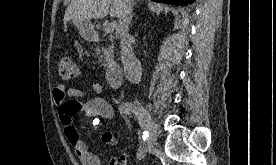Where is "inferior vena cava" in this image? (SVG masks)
<instances>
[{"label": "inferior vena cava", "mask_w": 276, "mask_h": 165, "mask_svg": "<svg viewBox=\"0 0 276 165\" xmlns=\"http://www.w3.org/2000/svg\"><path fill=\"white\" fill-rule=\"evenodd\" d=\"M132 5L133 0H124L119 16L118 33L120 35L121 59L124 69L133 83H139L141 81L142 68L140 63L137 62L133 56L128 33L129 24L132 18Z\"/></svg>", "instance_id": "inferior-vena-cava-1"}]
</instances>
